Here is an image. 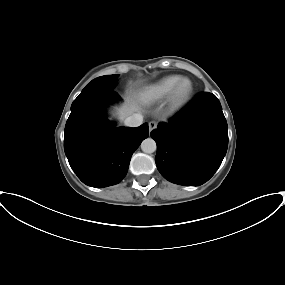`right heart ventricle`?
Here are the masks:
<instances>
[{
  "instance_id": "obj_1",
  "label": "right heart ventricle",
  "mask_w": 285,
  "mask_h": 285,
  "mask_svg": "<svg viewBox=\"0 0 285 285\" xmlns=\"http://www.w3.org/2000/svg\"><path fill=\"white\" fill-rule=\"evenodd\" d=\"M182 78L180 75H169L145 87L141 92V100L150 104L168 98Z\"/></svg>"
}]
</instances>
